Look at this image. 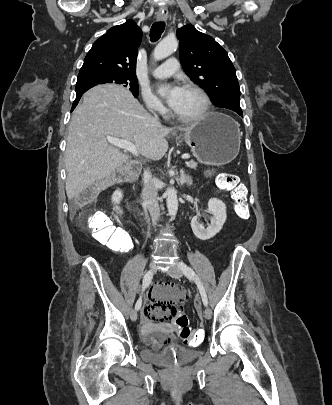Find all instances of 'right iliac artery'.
Masks as SVG:
<instances>
[{"mask_svg": "<svg viewBox=\"0 0 332 405\" xmlns=\"http://www.w3.org/2000/svg\"><path fill=\"white\" fill-rule=\"evenodd\" d=\"M153 274L148 271L144 278H143V283H142V293L145 291V289L149 286V284L151 283ZM142 293L141 296L139 297V299L137 300L136 304H135V309L139 310L141 308L142 305Z\"/></svg>", "mask_w": 332, "mask_h": 405, "instance_id": "right-iliac-artery-1", "label": "right iliac artery"}]
</instances>
